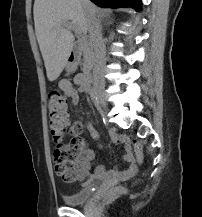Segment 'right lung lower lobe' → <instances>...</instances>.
Here are the masks:
<instances>
[{"mask_svg": "<svg viewBox=\"0 0 202 217\" xmlns=\"http://www.w3.org/2000/svg\"><path fill=\"white\" fill-rule=\"evenodd\" d=\"M100 7H132L140 10L141 0H91Z\"/></svg>", "mask_w": 202, "mask_h": 217, "instance_id": "right-lung-lower-lobe-1", "label": "right lung lower lobe"}]
</instances>
